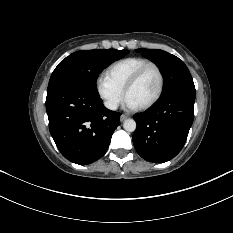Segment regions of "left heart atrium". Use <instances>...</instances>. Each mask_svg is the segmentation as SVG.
Returning <instances> with one entry per match:
<instances>
[{"instance_id": "obj_1", "label": "left heart atrium", "mask_w": 233, "mask_h": 233, "mask_svg": "<svg viewBox=\"0 0 233 233\" xmlns=\"http://www.w3.org/2000/svg\"><path fill=\"white\" fill-rule=\"evenodd\" d=\"M124 106L127 108V109H136L138 108L137 104L134 103L131 99L127 98L125 99V103H124Z\"/></svg>"}]
</instances>
